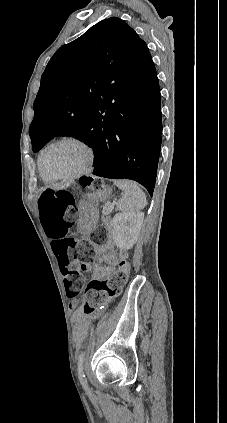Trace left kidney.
Wrapping results in <instances>:
<instances>
[{
    "mask_svg": "<svg viewBox=\"0 0 227 423\" xmlns=\"http://www.w3.org/2000/svg\"><path fill=\"white\" fill-rule=\"evenodd\" d=\"M144 219L143 211H121L115 213L113 239L119 249H131L138 239Z\"/></svg>",
    "mask_w": 227,
    "mask_h": 423,
    "instance_id": "5707ae66",
    "label": "left kidney"
}]
</instances>
